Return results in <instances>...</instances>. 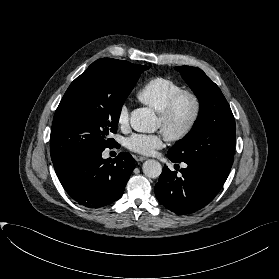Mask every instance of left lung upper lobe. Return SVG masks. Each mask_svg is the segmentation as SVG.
<instances>
[{
	"label": "left lung upper lobe",
	"mask_w": 279,
	"mask_h": 279,
	"mask_svg": "<svg viewBox=\"0 0 279 279\" xmlns=\"http://www.w3.org/2000/svg\"><path fill=\"white\" fill-rule=\"evenodd\" d=\"M194 91L200 113L192 130L169 149L177 162L208 166L228 176L235 150V119L219 87L199 68L175 67Z\"/></svg>",
	"instance_id": "left-lung-upper-lobe-1"
}]
</instances>
